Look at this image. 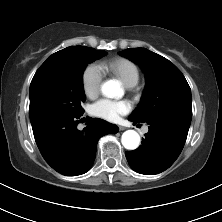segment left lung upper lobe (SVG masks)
Returning a JSON list of instances; mask_svg holds the SVG:
<instances>
[{"mask_svg": "<svg viewBox=\"0 0 222 222\" xmlns=\"http://www.w3.org/2000/svg\"><path fill=\"white\" fill-rule=\"evenodd\" d=\"M119 54L138 64L146 76L141 103L129 118L144 122L152 118L178 116L191 123V90L172 62L145 48L126 49Z\"/></svg>", "mask_w": 222, "mask_h": 222, "instance_id": "5c2ea615", "label": "left lung upper lobe"}]
</instances>
